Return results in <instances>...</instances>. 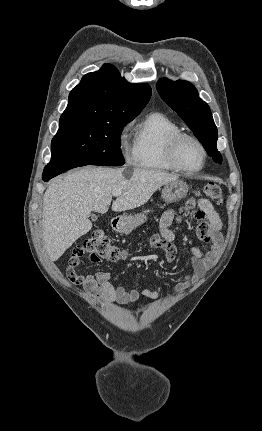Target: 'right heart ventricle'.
Listing matches in <instances>:
<instances>
[{
    "label": "right heart ventricle",
    "mask_w": 262,
    "mask_h": 431,
    "mask_svg": "<svg viewBox=\"0 0 262 431\" xmlns=\"http://www.w3.org/2000/svg\"><path fill=\"white\" fill-rule=\"evenodd\" d=\"M182 131L169 117L152 112L140 119L134 128L132 154L136 166L143 169L177 171L167 157L170 139Z\"/></svg>",
    "instance_id": "right-heart-ventricle-1"
}]
</instances>
